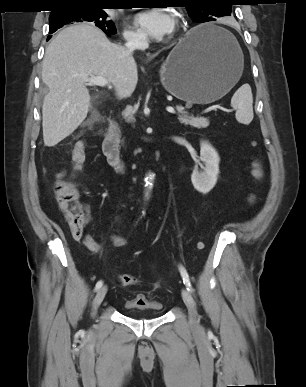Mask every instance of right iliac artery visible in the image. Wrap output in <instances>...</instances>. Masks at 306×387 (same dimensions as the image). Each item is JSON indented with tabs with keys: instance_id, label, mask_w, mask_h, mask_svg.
I'll list each match as a JSON object with an SVG mask.
<instances>
[{
	"instance_id": "82829eb1",
	"label": "right iliac artery",
	"mask_w": 306,
	"mask_h": 387,
	"mask_svg": "<svg viewBox=\"0 0 306 387\" xmlns=\"http://www.w3.org/2000/svg\"><path fill=\"white\" fill-rule=\"evenodd\" d=\"M102 285H103V282H102L101 280L98 281L97 284H96V286H95V290L100 289V288L102 287Z\"/></svg>"
}]
</instances>
